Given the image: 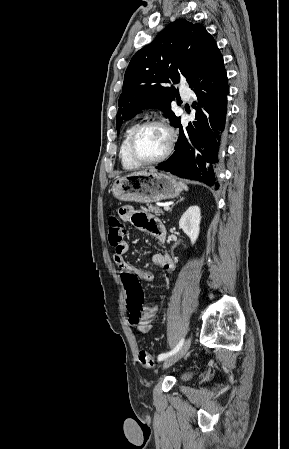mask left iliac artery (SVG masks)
<instances>
[{"label":"left iliac artery","mask_w":289,"mask_h":449,"mask_svg":"<svg viewBox=\"0 0 289 449\" xmlns=\"http://www.w3.org/2000/svg\"><path fill=\"white\" fill-rule=\"evenodd\" d=\"M183 343H184V338H182V339L179 341V343L176 345V347H175L173 350H171V351H169V352H166V353L160 354V355L158 356V360H159V361H162V360H164V359H166V358L172 356L173 354H175V353L182 347Z\"/></svg>","instance_id":"44dca946"}]
</instances>
